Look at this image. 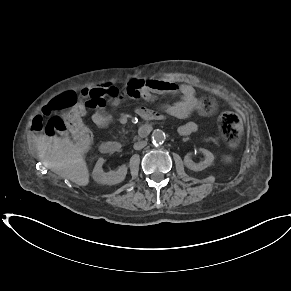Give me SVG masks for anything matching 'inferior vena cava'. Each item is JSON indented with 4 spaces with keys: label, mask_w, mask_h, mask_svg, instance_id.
<instances>
[{
    "label": "inferior vena cava",
    "mask_w": 291,
    "mask_h": 291,
    "mask_svg": "<svg viewBox=\"0 0 291 291\" xmlns=\"http://www.w3.org/2000/svg\"><path fill=\"white\" fill-rule=\"evenodd\" d=\"M147 145L146 141H138L134 144V149L135 150H141L142 148H144Z\"/></svg>",
    "instance_id": "602c4592"
}]
</instances>
